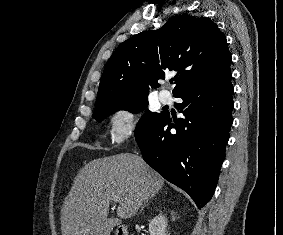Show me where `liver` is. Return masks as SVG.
<instances>
[{
  "label": "liver",
  "mask_w": 283,
  "mask_h": 235,
  "mask_svg": "<svg viewBox=\"0 0 283 235\" xmlns=\"http://www.w3.org/2000/svg\"><path fill=\"white\" fill-rule=\"evenodd\" d=\"M164 185L144 160L130 153L98 158L76 176L61 208L62 235H109V203L119 197L117 216L128 219Z\"/></svg>",
  "instance_id": "1"
}]
</instances>
